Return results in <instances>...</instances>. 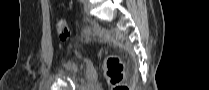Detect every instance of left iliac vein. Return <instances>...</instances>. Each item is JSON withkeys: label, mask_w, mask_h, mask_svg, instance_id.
<instances>
[{"label": "left iliac vein", "mask_w": 209, "mask_h": 90, "mask_svg": "<svg viewBox=\"0 0 209 90\" xmlns=\"http://www.w3.org/2000/svg\"><path fill=\"white\" fill-rule=\"evenodd\" d=\"M84 11L87 12L89 7V2L87 0H83Z\"/></svg>", "instance_id": "1"}]
</instances>
